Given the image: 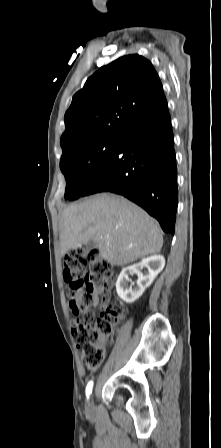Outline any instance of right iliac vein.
<instances>
[{"label": "right iliac vein", "mask_w": 221, "mask_h": 448, "mask_svg": "<svg viewBox=\"0 0 221 448\" xmlns=\"http://www.w3.org/2000/svg\"><path fill=\"white\" fill-rule=\"evenodd\" d=\"M86 410H87V412H90L92 410V404H91L90 401H89V403H88V405L86 407Z\"/></svg>", "instance_id": "63e3f726"}]
</instances>
